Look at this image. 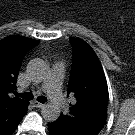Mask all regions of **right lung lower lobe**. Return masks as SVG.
Masks as SVG:
<instances>
[{
    "instance_id": "right-lung-lower-lobe-1",
    "label": "right lung lower lobe",
    "mask_w": 135,
    "mask_h": 135,
    "mask_svg": "<svg viewBox=\"0 0 135 135\" xmlns=\"http://www.w3.org/2000/svg\"><path fill=\"white\" fill-rule=\"evenodd\" d=\"M17 126L14 127L13 129H11L8 133H6V134L5 133L4 134L1 133L0 135H11L16 130Z\"/></svg>"
}]
</instances>
